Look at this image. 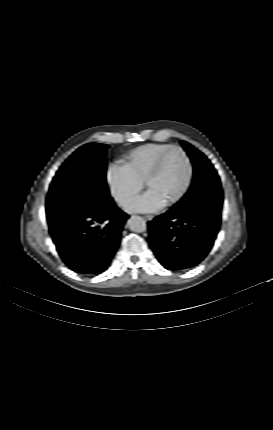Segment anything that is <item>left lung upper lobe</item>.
I'll use <instances>...</instances> for the list:
<instances>
[{
	"instance_id": "5c2ea615",
	"label": "left lung upper lobe",
	"mask_w": 273,
	"mask_h": 430,
	"mask_svg": "<svg viewBox=\"0 0 273 430\" xmlns=\"http://www.w3.org/2000/svg\"><path fill=\"white\" fill-rule=\"evenodd\" d=\"M180 142L189 157L191 158L194 167L193 181L188 192H195L203 188L207 184L220 186V178L217 175V172L214 169L213 165L204 156V154L198 151L192 145L188 144L187 142Z\"/></svg>"
}]
</instances>
